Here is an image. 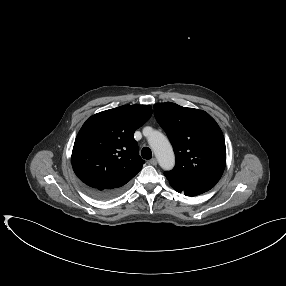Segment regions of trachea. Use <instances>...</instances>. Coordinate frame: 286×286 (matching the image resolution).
<instances>
[{
	"mask_svg": "<svg viewBox=\"0 0 286 286\" xmlns=\"http://www.w3.org/2000/svg\"><path fill=\"white\" fill-rule=\"evenodd\" d=\"M141 155L144 159H151L152 158V152H151V149L148 148V147H144L142 150H141Z\"/></svg>",
	"mask_w": 286,
	"mask_h": 286,
	"instance_id": "trachea-1",
	"label": "trachea"
}]
</instances>
